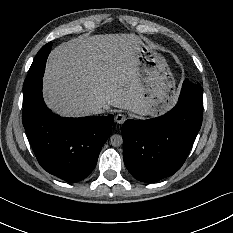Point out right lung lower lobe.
<instances>
[{"label": "right lung lower lobe", "instance_id": "right-lung-lower-lobe-1", "mask_svg": "<svg viewBox=\"0 0 233 233\" xmlns=\"http://www.w3.org/2000/svg\"><path fill=\"white\" fill-rule=\"evenodd\" d=\"M23 100V126L42 168L71 183L86 178L96 166L114 117L62 118L53 114L43 101L42 78L24 91Z\"/></svg>", "mask_w": 233, "mask_h": 233}]
</instances>
